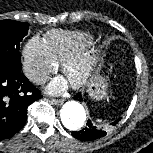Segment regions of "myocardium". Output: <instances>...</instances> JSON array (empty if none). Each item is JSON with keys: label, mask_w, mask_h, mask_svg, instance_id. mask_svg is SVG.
Instances as JSON below:
<instances>
[{"label": "myocardium", "mask_w": 153, "mask_h": 153, "mask_svg": "<svg viewBox=\"0 0 153 153\" xmlns=\"http://www.w3.org/2000/svg\"><path fill=\"white\" fill-rule=\"evenodd\" d=\"M98 59L99 50L90 48L63 62L62 71L74 89H80L87 85L98 63ZM74 72H77V75L72 78Z\"/></svg>", "instance_id": "f54148a6"}]
</instances>
